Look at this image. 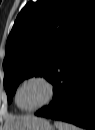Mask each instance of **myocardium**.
I'll return each mask as SVG.
<instances>
[{"label": "myocardium", "instance_id": "obj_1", "mask_svg": "<svg viewBox=\"0 0 95 130\" xmlns=\"http://www.w3.org/2000/svg\"><path fill=\"white\" fill-rule=\"evenodd\" d=\"M32 81L41 82V83H43V84L46 86V88H47V97H46V99H45L41 104H39L38 106H36V107H34V108H30V109H25V108H23V107H21V106L19 105V103H18V95H19V91L21 90V88H22L26 83L32 82ZM54 93H55V87H54L53 82H52L49 78H47V77H45V76H43V75H32V76H29V77L25 78V79L19 84V86L17 87V89H16V91H15L14 101H15L16 106H17L20 110H22V111H24V112H34V111H37V110H39L40 108H42V107L48 105V104L51 102V100L53 99Z\"/></svg>", "mask_w": 95, "mask_h": 130}]
</instances>
